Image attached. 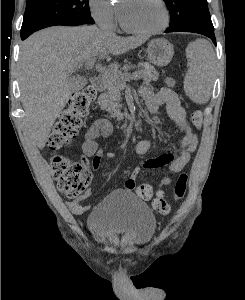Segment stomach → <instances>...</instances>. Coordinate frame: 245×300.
Returning <instances> with one entry per match:
<instances>
[{"label": "stomach", "mask_w": 245, "mask_h": 300, "mask_svg": "<svg viewBox=\"0 0 245 300\" xmlns=\"http://www.w3.org/2000/svg\"><path fill=\"white\" fill-rule=\"evenodd\" d=\"M147 54L152 64L162 67L171 61L174 48L166 39H154L148 44Z\"/></svg>", "instance_id": "0dacf381"}]
</instances>
